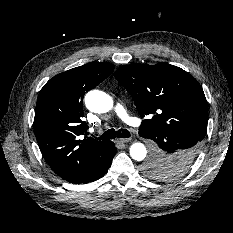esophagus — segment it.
<instances>
[{"mask_svg":"<svg viewBox=\"0 0 233 233\" xmlns=\"http://www.w3.org/2000/svg\"><path fill=\"white\" fill-rule=\"evenodd\" d=\"M131 140V138H118V139H116V143L117 144H124V143H127V142H129Z\"/></svg>","mask_w":233,"mask_h":233,"instance_id":"1","label":"esophagus"}]
</instances>
